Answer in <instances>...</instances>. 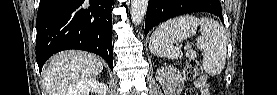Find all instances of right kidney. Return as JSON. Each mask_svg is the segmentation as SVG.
<instances>
[{
	"instance_id": "obj_1",
	"label": "right kidney",
	"mask_w": 277,
	"mask_h": 95,
	"mask_svg": "<svg viewBox=\"0 0 277 95\" xmlns=\"http://www.w3.org/2000/svg\"><path fill=\"white\" fill-rule=\"evenodd\" d=\"M90 90L96 91L99 95H105L107 86L105 84H100L96 78H88L77 82L67 94L89 95Z\"/></svg>"
}]
</instances>
